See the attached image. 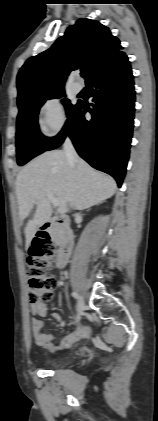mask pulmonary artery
I'll return each instance as SVG.
<instances>
[{"label":"pulmonary artery","instance_id":"obj_1","mask_svg":"<svg viewBox=\"0 0 158 421\" xmlns=\"http://www.w3.org/2000/svg\"><path fill=\"white\" fill-rule=\"evenodd\" d=\"M82 89H83V85L79 81V78H78L77 81L73 84L72 90H73L74 93L78 94L82 91Z\"/></svg>","mask_w":158,"mask_h":421}]
</instances>
